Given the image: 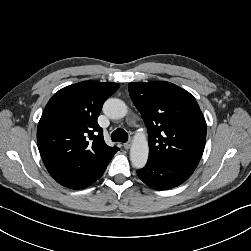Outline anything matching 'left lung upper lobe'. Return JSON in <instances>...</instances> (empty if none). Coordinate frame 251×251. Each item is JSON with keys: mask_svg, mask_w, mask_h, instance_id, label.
Instances as JSON below:
<instances>
[{"mask_svg": "<svg viewBox=\"0 0 251 251\" xmlns=\"http://www.w3.org/2000/svg\"><path fill=\"white\" fill-rule=\"evenodd\" d=\"M148 130L149 160L196 168L205 147L206 121L195 98L163 81L128 85Z\"/></svg>", "mask_w": 251, "mask_h": 251, "instance_id": "obj_1", "label": "left lung upper lobe"}]
</instances>
